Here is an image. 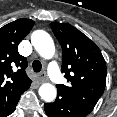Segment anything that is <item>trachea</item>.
I'll return each mask as SVG.
<instances>
[{
    "mask_svg": "<svg viewBox=\"0 0 117 117\" xmlns=\"http://www.w3.org/2000/svg\"><path fill=\"white\" fill-rule=\"evenodd\" d=\"M32 68H33V71H34V72H36V73L40 72L41 69H42V64H41V62L38 61V60L33 61V63H32Z\"/></svg>",
    "mask_w": 117,
    "mask_h": 117,
    "instance_id": "1",
    "label": "trachea"
}]
</instances>
